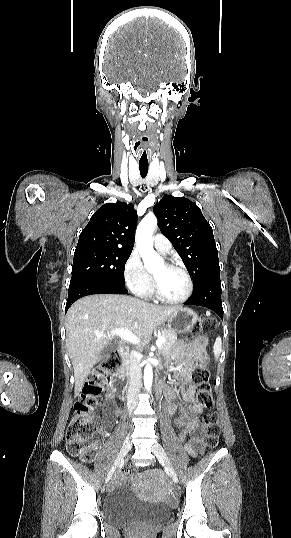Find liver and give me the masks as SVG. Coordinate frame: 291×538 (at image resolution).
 Returning <instances> with one entry per match:
<instances>
[{
    "mask_svg": "<svg viewBox=\"0 0 291 538\" xmlns=\"http://www.w3.org/2000/svg\"><path fill=\"white\" fill-rule=\"evenodd\" d=\"M178 306H159L118 294L91 295L79 299L66 314V347L74 369L77 396L105 346L112 330L127 328L140 340L149 338ZM95 332L104 334L98 337Z\"/></svg>",
    "mask_w": 291,
    "mask_h": 538,
    "instance_id": "liver-1",
    "label": "liver"
}]
</instances>
